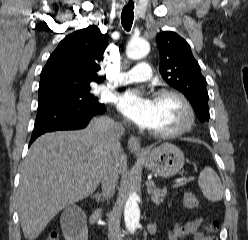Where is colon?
Returning a JSON list of instances; mask_svg holds the SVG:
<instances>
[{
	"mask_svg": "<svg viewBox=\"0 0 248 240\" xmlns=\"http://www.w3.org/2000/svg\"><path fill=\"white\" fill-rule=\"evenodd\" d=\"M184 205L190 209H196L199 205L197 197L190 192L184 194L183 197ZM218 230V223L213 221L206 226V235L204 236V240H217L216 232ZM46 240H58V236L56 234H51Z\"/></svg>",
	"mask_w": 248,
	"mask_h": 240,
	"instance_id": "colon-1",
	"label": "colon"
}]
</instances>
